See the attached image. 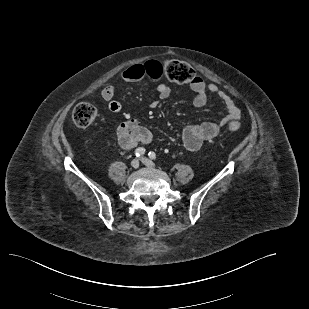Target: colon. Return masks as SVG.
Listing matches in <instances>:
<instances>
[{
  "label": "colon",
  "instance_id": "colon-1",
  "mask_svg": "<svg viewBox=\"0 0 309 309\" xmlns=\"http://www.w3.org/2000/svg\"><path fill=\"white\" fill-rule=\"evenodd\" d=\"M151 65L160 68L161 74H164L170 81L178 84H191L197 79L195 70L186 62L179 60H168L164 63L151 62ZM97 117L96 108L87 102L79 103L72 112V119L78 127H88ZM230 131H238L240 124L231 122L228 125Z\"/></svg>",
  "mask_w": 309,
  "mask_h": 309
}]
</instances>
